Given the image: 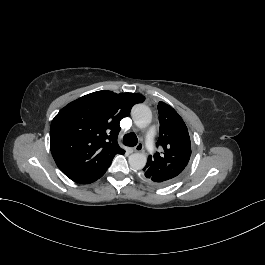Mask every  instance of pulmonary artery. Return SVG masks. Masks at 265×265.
Masks as SVG:
<instances>
[{"instance_id": "pulmonary-artery-1", "label": "pulmonary artery", "mask_w": 265, "mask_h": 265, "mask_svg": "<svg viewBox=\"0 0 265 265\" xmlns=\"http://www.w3.org/2000/svg\"><path fill=\"white\" fill-rule=\"evenodd\" d=\"M145 138H146V141H147V150H148V153L149 154H156L157 153V143H156V130H155V127L154 126H147L146 127V130H145Z\"/></svg>"}]
</instances>
